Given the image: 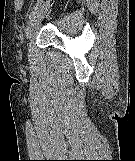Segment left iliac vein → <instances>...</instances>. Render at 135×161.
Returning <instances> with one entry per match:
<instances>
[{
	"instance_id": "left-iliac-vein-1",
	"label": "left iliac vein",
	"mask_w": 135,
	"mask_h": 161,
	"mask_svg": "<svg viewBox=\"0 0 135 161\" xmlns=\"http://www.w3.org/2000/svg\"><path fill=\"white\" fill-rule=\"evenodd\" d=\"M49 2L50 0H47L42 5H40L34 15L29 19L25 30V36L27 39H31L38 30L39 25L42 22L49 7Z\"/></svg>"
}]
</instances>
